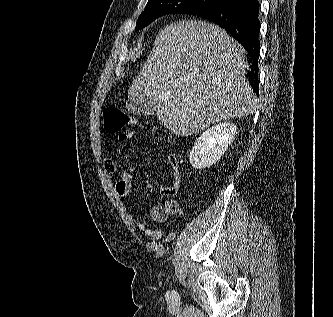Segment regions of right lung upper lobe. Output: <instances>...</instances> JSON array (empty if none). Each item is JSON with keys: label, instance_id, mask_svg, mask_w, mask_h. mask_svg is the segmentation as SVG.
<instances>
[{"label": "right lung upper lobe", "instance_id": "right-lung-upper-lobe-1", "mask_svg": "<svg viewBox=\"0 0 333 317\" xmlns=\"http://www.w3.org/2000/svg\"><path fill=\"white\" fill-rule=\"evenodd\" d=\"M226 1H228V2H233V1H236V0H226Z\"/></svg>", "mask_w": 333, "mask_h": 317}]
</instances>
